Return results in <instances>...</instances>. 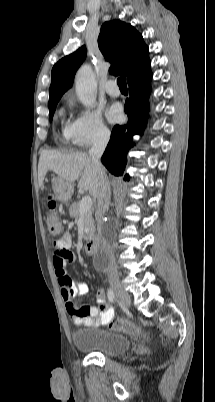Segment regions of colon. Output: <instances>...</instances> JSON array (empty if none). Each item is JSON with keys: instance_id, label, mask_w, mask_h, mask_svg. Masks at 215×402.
<instances>
[{"instance_id": "colon-1", "label": "colon", "mask_w": 215, "mask_h": 402, "mask_svg": "<svg viewBox=\"0 0 215 402\" xmlns=\"http://www.w3.org/2000/svg\"><path fill=\"white\" fill-rule=\"evenodd\" d=\"M56 207V202L50 198L47 203L46 221L48 229L52 234H57L60 231V225L56 215ZM109 326L113 330L122 331L133 336H137L141 333V330L137 325L122 318L113 319Z\"/></svg>"}]
</instances>
